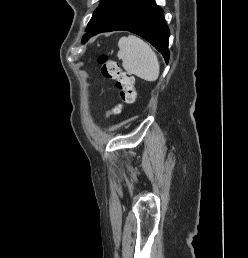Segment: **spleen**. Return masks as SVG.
Masks as SVG:
<instances>
[{
    "mask_svg": "<svg viewBox=\"0 0 248 258\" xmlns=\"http://www.w3.org/2000/svg\"><path fill=\"white\" fill-rule=\"evenodd\" d=\"M118 46L117 56L128 73L148 82L158 79L160 65L156 53L148 43L135 35H129L120 38Z\"/></svg>",
    "mask_w": 248,
    "mask_h": 258,
    "instance_id": "3e777b00",
    "label": "spleen"
}]
</instances>
